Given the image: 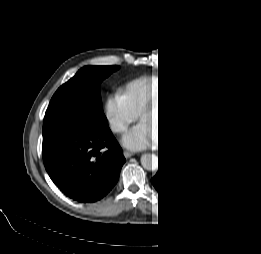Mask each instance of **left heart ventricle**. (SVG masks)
Listing matches in <instances>:
<instances>
[{
    "mask_svg": "<svg viewBox=\"0 0 261 254\" xmlns=\"http://www.w3.org/2000/svg\"><path fill=\"white\" fill-rule=\"evenodd\" d=\"M143 120L151 131L156 128L158 135H162L167 132V127L163 120V114H161V111L158 112V108L156 113L154 110L148 112L144 116Z\"/></svg>",
    "mask_w": 261,
    "mask_h": 254,
    "instance_id": "obj_1",
    "label": "left heart ventricle"
}]
</instances>
